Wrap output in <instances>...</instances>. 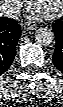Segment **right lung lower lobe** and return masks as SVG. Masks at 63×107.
<instances>
[{"label":"right lung lower lobe","mask_w":63,"mask_h":107,"mask_svg":"<svg viewBox=\"0 0 63 107\" xmlns=\"http://www.w3.org/2000/svg\"><path fill=\"white\" fill-rule=\"evenodd\" d=\"M21 30L17 21L0 17V75L12 64Z\"/></svg>","instance_id":"98d812e1"}]
</instances>
